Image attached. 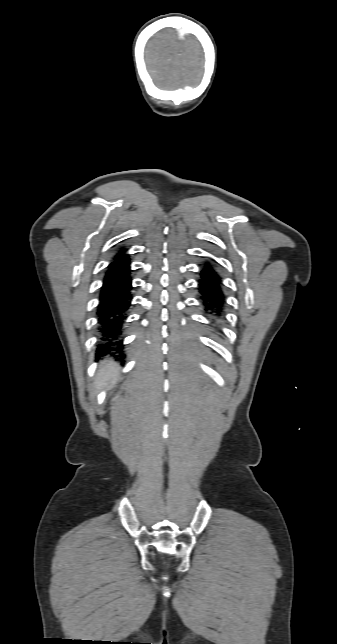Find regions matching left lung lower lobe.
Segmentation results:
<instances>
[{"mask_svg": "<svg viewBox=\"0 0 337 644\" xmlns=\"http://www.w3.org/2000/svg\"><path fill=\"white\" fill-rule=\"evenodd\" d=\"M213 259H207L201 266L198 280L200 302L212 320L222 319L225 315L226 296L222 278Z\"/></svg>", "mask_w": 337, "mask_h": 644, "instance_id": "obj_1", "label": "left lung lower lobe"}]
</instances>
